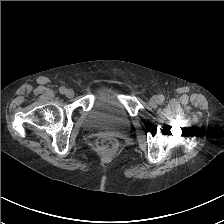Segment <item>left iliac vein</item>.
Instances as JSON below:
<instances>
[{
	"instance_id": "4c4485c4",
	"label": "left iliac vein",
	"mask_w": 224,
	"mask_h": 224,
	"mask_svg": "<svg viewBox=\"0 0 224 224\" xmlns=\"http://www.w3.org/2000/svg\"><path fill=\"white\" fill-rule=\"evenodd\" d=\"M150 103L152 105H157L158 103H160L159 101V97L158 96H153L151 99H150Z\"/></svg>"
}]
</instances>
